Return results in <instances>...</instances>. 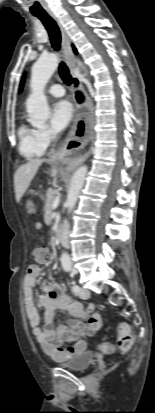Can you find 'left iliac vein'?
Masks as SVG:
<instances>
[{
    "mask_svg": "<svg viewBox=\"0 0 155 413\" xmlns=\"http://www.w3.org/2000/svg\"><path fill=\"white\" fill-rule=\"evenodd\" d=\"M77 295L81 298V299H88L90 296V292L85 289V288H80V291L77 293Z\"/></svg>",
    "mask_w": 155,
    "mask_h": 413,
    "instance_id": "4c4485c4",
    "label": "left iliac vein"
}]
</instances>
